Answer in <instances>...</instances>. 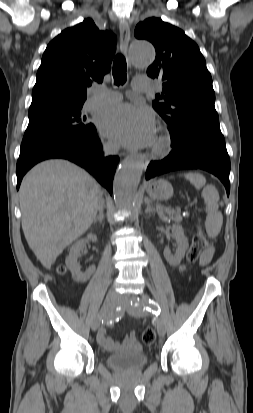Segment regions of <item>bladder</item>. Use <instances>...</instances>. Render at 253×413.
Masks as SVG:
<instances>
[{
  "label": "bladder",
  "instance_id": "31cf9c89",
  "mask_svg": "<svg viewBox=\"0 0 253 413\" xmlns=\"http://www.w3.org/2000/svg\"><path fill=\"white\" fill-rule=\"evenodd\" d=\"M148 357L142 348L110 354L106 357L109 367L118 371H135L146 366Z\"/></svg>",
  "mask_w": 253,
  "mask_h": 413
}]
</instances>
